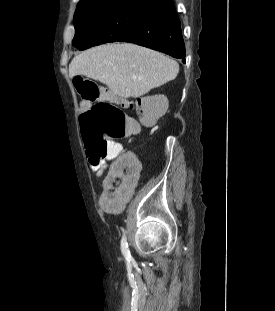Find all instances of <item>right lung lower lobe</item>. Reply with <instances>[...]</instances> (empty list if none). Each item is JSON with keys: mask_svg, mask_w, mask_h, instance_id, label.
Listing matches in <instances>:
<instances>
[{"mask_svg": "<svg viewBox=\"0 0 275 311\" xmlns=\"http://www.w3.org/2000/svg\"><path fill=\"white\" fill-rule=\"evenodd\" d=\"M120 42H131L164 52L185 63L181 24L173 4L167 3L133 24Z\"/></svg>", "mask_w": 275, "mask_h": 311, "instance_id": "98d812e1", "label": "right lung lower lobe"}]
</instances>
